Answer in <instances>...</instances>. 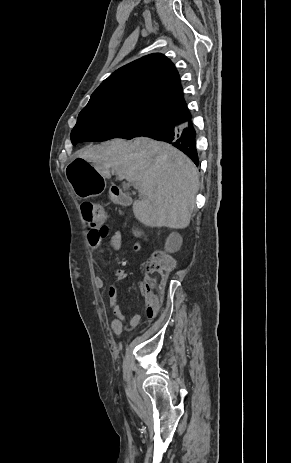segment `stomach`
<instances>
[{"instance_id": "0dacf381", "label": "stomach", "mask_w": 291, "mask_h": 463, "mask_svg": "<svg viewBox=\"0 0 291 463\" xmlns=\"http://www.w3.org/2000/svg\"><path fill=\"white\" fill-rule=\"evenodd\" d=\"M80 159L68 162L66 182L71 183L77 197L86 199L103 191L104 180L94 165Z\"/></svg>"}]
</instances>
